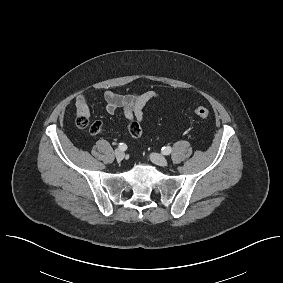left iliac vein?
<instances>
[{
  "mask_svg": "<svg viewBox=\"0 0 283 283\" xmlns=\"http://www.w3.org/2000/svg\"><path fill=\"white\" fill-rule=\"evenodd\" d=\"M150 159L153 163H155L156 165L159 166H166L167 165V159L166 157H164L161 154H157V153H152L150 155Z\"/></svg>",
  "mask_w": 283,
  "mask_h": 283,
  "instance_id": "4c4485c4",
  "label": "left iliac vein"
}]
</instances>
